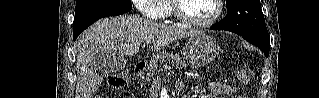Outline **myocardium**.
Masks as SVG:
<instances>
[{"instance_id":"1","label":"myocardium","mask_w":319,"mask_h":98,"mask_svg":"<svg viewBox=\"0 0 319 98\" xmlns=\"http://www.w3.org/2000/svg\"><path fill=\"white\" fill-rule=\"evenodd\" d=\"M216 4V11L215 13L207 20H193L190 18H187L180 9V0H173L172 6H173V13L176 19L181 22L182 24L192 27V28H206L214 23L217 22V20L221 17L223 13V2L222 0H214Z\"/></svg>"}]
</instances>
